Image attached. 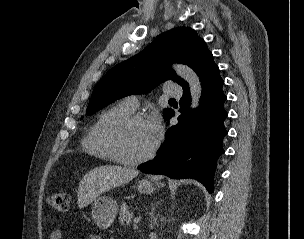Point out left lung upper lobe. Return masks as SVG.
I'll return each instance as SVG.
<instances>
[{"label": "left lung upper lobe", "mask_w": 304, "mask_h": 239, "mask_svg": "<svg viewBox=\"0 0 304 239\" xmlns=\"http://www.w3.org/2000/svg\"><path fill=\"white\" fill-rule=\"evenodd\" d=\"M211 54L205 41L190 27H177L162 33L142 52L107 72L95 86L87 115L94 114L116 99L148 92L167 79L185 88L187 82L175 75L170 64H187L199 74ZM170 110H164V117Z\"/></svg>", "instance_id": "5c2ea615"}]
</instances>
